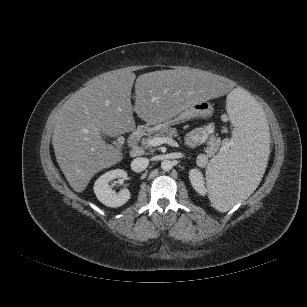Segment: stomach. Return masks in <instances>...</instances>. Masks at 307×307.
Listing matches in <instances>:
<instances>
[{
    "label": "stomach",
    "instance_id": "obj_1",
    "mask_svg": "<svg viewBox=\"0 0 307 307\" xmlns=\"http://www.w3.org/2000/svg\"><path fill=\"white\" fill-rule=\"evenodd\" d=\"M203 105L205 106L202 107ZM212 111H213L212 105L206 100H201L197 103H194L186 107L181 112L166 119L163 120L152 119L147 121L145 125V130L148 132H157L163 127L179 124L191 118L207 117L212 114Z\"/></svg>",
    "mask_w": 307,
    "mask_h": 307
}]
</instances>
